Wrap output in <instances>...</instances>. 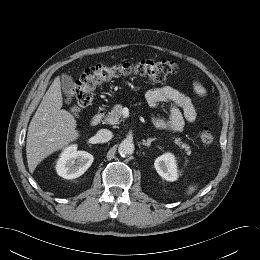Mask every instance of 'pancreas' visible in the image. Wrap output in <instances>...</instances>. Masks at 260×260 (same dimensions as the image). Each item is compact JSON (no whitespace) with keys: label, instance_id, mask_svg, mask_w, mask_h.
<instances>
[{"label":"pancreas","instance_id":"1","mask_svg":"<svg viewBox=\"0 0 260 260\" xmlns=\"http://www.w3.org/2000/svg\"><path fill=\"white\" fill-rule=\"evenodd\" d=\"M123 106L121 104H117L113 107V109L108 113V116L105 118L106 124L116 125L119 124L121 116H122ZM173 142L178 145L181 149H184L185 153L190 155L191 150L190 146L186 143H183L180 138L172 137Z\"/></svg>","mask_w":260,"mask_h":260}]
</instances>
